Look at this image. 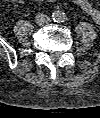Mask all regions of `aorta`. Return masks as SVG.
I'll list each match as a JSON object with an SVG mask.
<instances>
[{"mask_svg": "<svg viewBox=\"0 0 100 118\" xmlns=\"http://www.w3.org/2000/svg\"><path fill=\"white\" fill-rule=\"evenodd\" d=\"M52 18L54 21L61 22L65 19V13L62 11H54L52 14Z\"/></svg>", "mask_w": 100, "mask_h": 118, "instance_id": "obj_1", "label": "aorta"}]
</instances>
